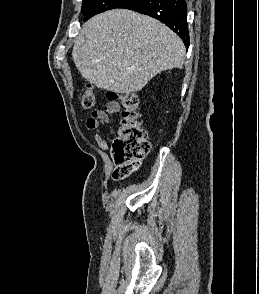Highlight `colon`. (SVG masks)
<instances>
[{
    "instance_id": "obj_1",
    "label": "colon",
    "mask_w": 259,
    "mask_h": 294,
    "mask_svg": "<svg viewBox=\"0 0 259 294\" xmlns=\"http://www.w3.org/2000/svg\"><path fill=\"white\" fill-rule=\"evenodd\" d=\"M108 97L112 101L119 100L123 107L121 123L113 143L116 163L113 177L116 180H123L139 168L151 146L147 132L142 126L137 95L109 93ZM95 105V95L88 86L81 96V107L83 110H91Z\"/></svg>"
}]
</instances>
